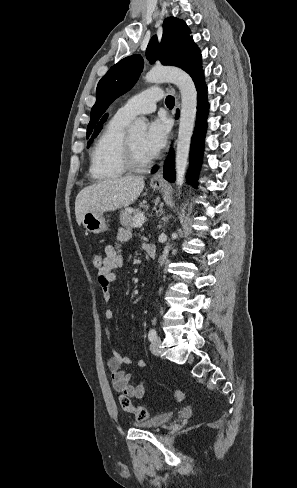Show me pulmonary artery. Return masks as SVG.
<instances>
[{
  "label": "pulmonary artery",
  "instance_id": "pulmonary-artery-1",
  "mask_svg": "<svg viewBox=\"0 0 297 488\" xmlns=\"http://www.w3.org/2000/svg\"><path fill=\"white\" fill-rule=\"evenodd\" d=\"M162 98V90L158 87L149 88L129 98L122 105L117 115L131 120L137 115L148 114L156 109V103Z\"/></svg>",
  "mask_w": 297,
  "mask_h": 488
}]
</instances>
